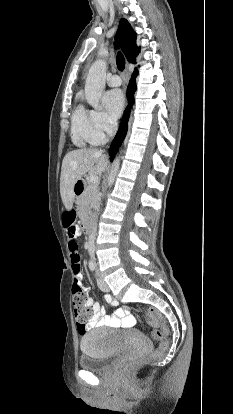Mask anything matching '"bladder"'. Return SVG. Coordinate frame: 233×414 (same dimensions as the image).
<instances>
[{"label": "bladder", "instance_id": "bladder-1", "mask_svg": "<svg viewBox=\"0 0 233 414\" xmlns=\"http://www.w3.org/2000/svg\"><path fill=\"white\" fill-rule=\"evenodd\" d=\"M145 347H149V341L138 331H131ZM116 332L95 328L88 331L82 338L80 347L82 355L79 359V367L82 370L98 372L107 370L113 360L120 353L116 344Z\"/></svg>", "mask_w": 233, "mask_h": 414}]
</instances>
